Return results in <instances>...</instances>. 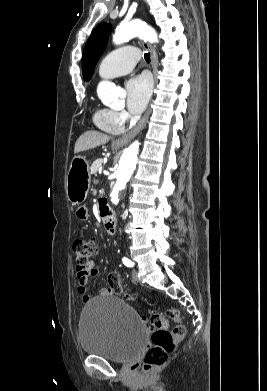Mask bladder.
Listing matches in <instances>:
<instances>
[{
  "label": "bladder",
  "instance_id": "1",
  "mask_svg": "<svg viewBox=\"0 0 267 391\" xmlns=\"http://www.w3.org/2000/svg\"><path fill=\"white\" fill-rule=\"evenodd\" d=\"M146 338L138 314L117 296L95 299L82 311L79 339L86 354L126 363L140 354Z\"/></svg>",
  "mask_w": 267,
  "mask_h": 391
}]
</instances>
